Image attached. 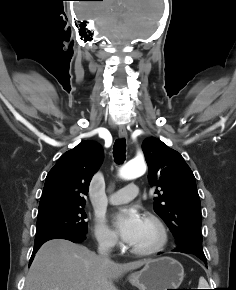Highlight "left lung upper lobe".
Instances as JSON below:
<instances>
[{
    "label": "left lung upper lobe",
    "instance_id": "obj_1",
    "mask_svg": "<svg viewBox=\"0 0 236 290\" xmlns=\"http://www.w3.org/2000/svg\"><path fill=\"white\" fill-rule=\"evenodd\" d=\"M142 149L149 167L155 193L154 210L165 221L176 239L178 249L206 259L202 249V215L193 172L183 157L156 138L143 141Z\"/></svg>",
    "mask_w": 236,
    "mask_h": 290
}]
</instances>
